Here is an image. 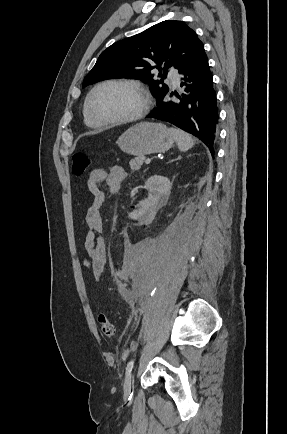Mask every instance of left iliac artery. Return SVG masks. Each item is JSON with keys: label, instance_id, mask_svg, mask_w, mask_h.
<instances>
[{"label": "left iliac artery", "instance_id": "left-iliac-artery-1", "mask_svg": "<svg viewBox=\"0 0 287 434\" xmlns=\"http://www.w3.org/2000/svg\"><path fill=\"white\" fill-rule=\"evenodd\" d=\"M133 366H134V360H131V361L127 364V367H126V373H125L126 377H128V376L131 374L132 369H133Z\"/></svg>", "mask_w": 287, "mask_h": 434}]
</instances>
